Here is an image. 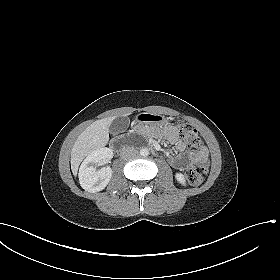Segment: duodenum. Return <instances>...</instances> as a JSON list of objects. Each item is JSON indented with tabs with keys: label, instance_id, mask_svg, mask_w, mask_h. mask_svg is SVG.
I'll list each match as a JSON object with an SVG mask.
<instances>
[{
	"label": "duodenum",
	"instance_id": "obj_1",
	"mask_svg": "<svg viewBox=\"0 0 280 280\" xmlns=\"http://www.w3.org/2000/svg\"><path fill=\"white\" fill-rule=\"evenodd\" d=\"M112 147L115 150H119V149L123 148V144H122L121 140L119 138H117L112 142Z\"/></svg>",
	"mask_w": 280,
	"mask_h": 280
}]
</instances>
